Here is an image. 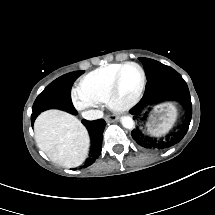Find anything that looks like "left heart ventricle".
<instances>
[{
	"label": "left heart ventricle",
	"mask_w": 215,
	"mask_h": 215,
	"mask_svg": "<svg viewBox=\"0 0 215 215\" xmlns=\"http://www.w3.org/2000/svg\"><path fill=\"white\" fill-rule=\"evenodd\" d=\"M118 93L129 94L134 92L138 82V72L133 67H125L119 70Z\"/></svg>",
	"instance_id": "left-heart-ventricle-1"
}]
</instances>
